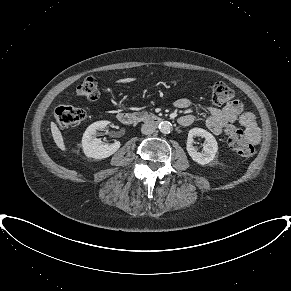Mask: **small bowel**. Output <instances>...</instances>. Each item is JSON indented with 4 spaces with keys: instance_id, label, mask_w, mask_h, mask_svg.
I'll return each instance as SVG.
<instances>
[{
    "instance_id": "c3829d8e",
    "label": "small bowel",
    "mask_w": 291,
    "mask_h": 291,
    "mask_svg": "<svg viewBox=\"0 0 291 291\" xmlns=\"http://www.w3.org/2000/svg\"><path fill=\"white\" fill-rule=\"evenodd\" d=\"M191 105L192 102L187 98H180L175 102V106L180 109L188 108ZM207 111L206 126L213 134H222L227 124L238 120L244 126L249 141L253 144L259 142L260 128L256 118L252 113L243 111V105L240 101L228 102L222 108L209 106ZM194 119V115L184 114L179 117L178 122L182 126H189L194 122Z\"/></svg>"
}]
</instances>
